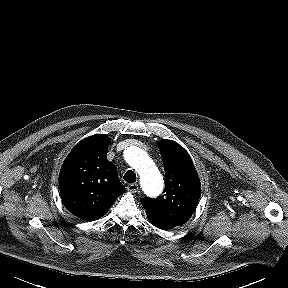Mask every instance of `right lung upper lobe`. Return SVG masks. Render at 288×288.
Instances as JSON below:
<instances>
[{
    "label": "right lung upper lobe",
    "mask_w": 288,
    "mask_h": 288,
    "mask_svg": "<svg viewBox=\"0 0 288 288\" xmlns=\"http://www.w3.org/2000/svg\"><path fill=\"white\" fill-rule=\"evenodd\" d=\"M110 143L105 135H93L75 146L62 165L59 188L63 203L82 219L104 216L126 191L115 165L107 160Z\"/></svg>",
    "instance_id": "right-lung-upper-lobe-1"
}]
</instances>
